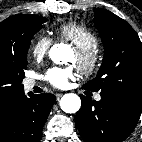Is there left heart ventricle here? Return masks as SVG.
I'll use <instances>...</instances> for the list:
<instances>
[{
	"label": "left heart ventricle",
	"instance_id": "obj_1",
	"mask_svg": "<svg viewBox=\"0 0 142 142\" xmlns=\"http://www.w3.org/2000/svg\"><path fill=\"white\" fill-rule=\"evenodd\" d=\"M71 61L76 62V56L75 55H73V57L71 58Z\"/></svg>",
	"mask_w": 142,
	"mask_h": 142
}]
</instances>
